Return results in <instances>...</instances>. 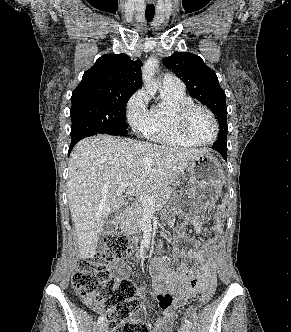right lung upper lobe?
<instances>
[{
    "label": "right lung upper lobe",
    "instance_id": "cb5924a9",
    "mask_svg": "<svg viewBox=\"0 0 291 332\" xmlns=\"http://www.w3.org/2000/svg\"><path fill=\"white\" fill-rule=\"evenodd\" d=\"M141 61L126 54H105L87 70L72 99L103 94L132 95L142 86Z\"/></svg>",
    "mask_w": 291,
    "mask_h": 332
}]
</instances>
